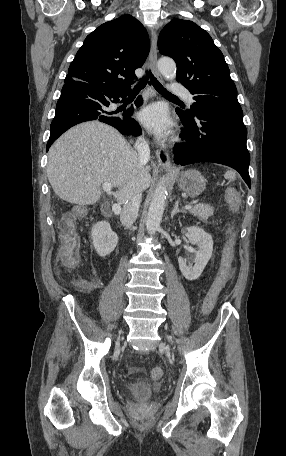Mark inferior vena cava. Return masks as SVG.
<instances>
[{
    "label": "inferior vena cava",
    "instance_id": "602c4592",
    "mask_svg": "<svg viewBox=\"0 0 286 456\" xmlns=\"http://www.w3.org/2000/svg\"><path fill=\"white\" fill-rule=\"evenodd\" d=\"M135 149L138 152L140 164H146L150 159V149L143 137L136 140ZM141 197L142 188L140 183L136 182L129 191L120 214V221L126 228H130L137 218Z\"/></svg>",
    "mask_w": 286,
    "mask_h": 456
}]
</instances>
